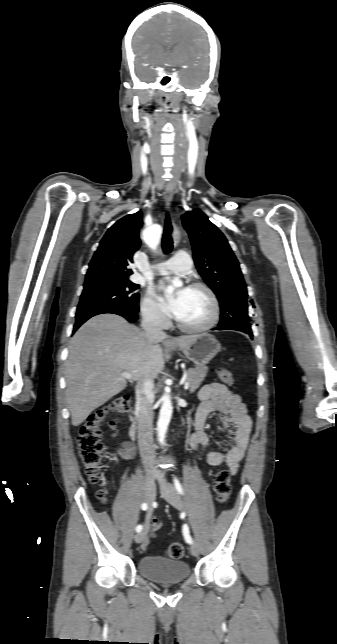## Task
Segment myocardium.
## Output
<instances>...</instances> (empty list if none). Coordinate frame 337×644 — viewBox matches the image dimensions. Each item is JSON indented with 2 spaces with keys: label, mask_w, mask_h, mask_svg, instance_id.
<instances>
[{
  "label": "myocardium",
  "mask_w": 337,
  "mask_h": 644,
  "mask_svg": "<svg viewBox=\"0 0 337 644\" xmlns=\"http://www.w3.org/2000/svg\"><path fill=\"white\" fill-rule=\"evenodd\" d=\"M188 289L201 290V291L206 293V295L208 296V298H209V300L211 302V308H212L211 316H210L209 320L205 324H203L201 326H195V327L187 326V325L183 324L176 317H174V322H175L176 326L180 330H182L184 332H188V333H204V332H207V331L211 330L213 327H215L217 325L219 319H220V304H219V300H218L215 292L208 285H206L204 283H200V282L192 283L191 285H189Z\"/></svg>",
  "instance_id": "myocardium-1"
}]
</instances>
